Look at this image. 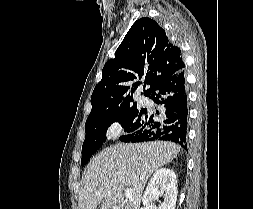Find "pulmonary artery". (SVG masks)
<instances>
[{"mask_svg": "<svg viewBox=\"0 0 253 209\" xmlns=\"http://www.w3.org/2000/svg\"><path fill=\"white\" fill-rule=\"evenodd\" d=\"M141 102H142V103H147V102H148V99H147L146 97H142V98H141Z\"/></svg>", "mask_w": 253, "mask_h": 209, "instance_id": "1", "label": "pulmonary artery"}]
</instances>
